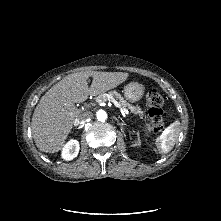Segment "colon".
<instances>
[{
  "label": "colon",
  "mask_w": 221,
  "mask_h": 221,
  "mask_svg": "<svg viewBox=\"0 0 221 221\" xmlns=\"http://www.w3.org/2000/svg\"><path fill=\"white\" fill-rule=\"evenodd\" d=\"M146 106L150 117V127L153 132L158 133L164 127L163 105L164 99L157 90H150L146 95Z\"/></svg>",
  "instance_id": "5ec220e1"
}]
</instances>
